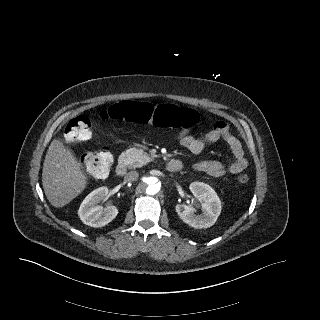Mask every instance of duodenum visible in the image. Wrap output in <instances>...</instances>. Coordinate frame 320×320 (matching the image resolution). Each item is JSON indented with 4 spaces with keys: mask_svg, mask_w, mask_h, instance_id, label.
<instances>
[{
    "mask_svg": "<svg viewBox=\"0 0 320 320\" xmlns=\"http://www.w3.org/2000/svg\"><path fill=\"white\" fill-rule=\"evenodd\" d=\"M183 165L179 160L172 159L167 162L166 168L171 173L179 172ZM127 173V165L124 161H120L116 166V174L118 176H124Z\"/></svg>",
    "mask_w": 320,
    "mask_h": 320,
    "instance_id": "duodenum-1",
    "label": "duodenum"
}]
</instances>
